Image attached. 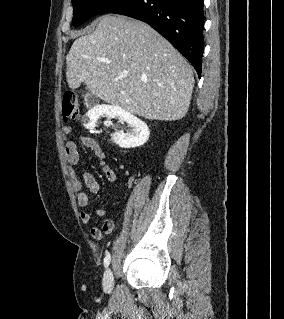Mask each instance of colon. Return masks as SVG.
<instances>
[{"label": "colon", "instance_id": "colon-1", "mask_svg": "<svg viewBox=\"0 0 284 319\" xmlns=\"http://www.w3.org/2000/svg\"><path fill=\"white\" fill-rule=\"evenodd\" d=\"M62 117L65 121L77 118L80 114V103L74 92L67 91L63 95L61 106Z\"/></svg>", "mask_w": 284, "mask_h": 319}]
</instances>
